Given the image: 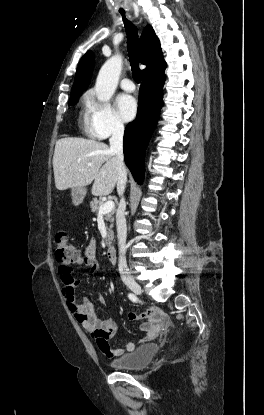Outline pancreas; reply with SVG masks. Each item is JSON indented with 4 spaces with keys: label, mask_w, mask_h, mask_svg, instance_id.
<instances>
[{
    "label": "pancreas",
    "mask_w": 264,
    "mask_h": 415,
    "mask_svg": "<svg viewBox=\"0 0 264 415\" xmlns=\"http://www.w3.org/2000/svg\"><path fill=\"white\" fill-rule=\"evenodd\" d=\"M102 204H103V201L94 198L90 202V207H91L92 212L96 213V214H99V209H100V206ZM104 218H105L106 221H109L111 223L109 228H108V232H107L108 234H107V237H106V240H105V244L107 246H109V245H111V242H112L113 237H114V232L112 230L113 222H114V210H112L111 212L105 214Z\"/></svg>",
    "instance_id": "pancreas-1"
}]
</instances>
